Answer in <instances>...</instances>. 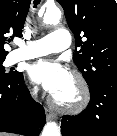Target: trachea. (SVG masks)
Listing matches in <instances>:
<instances>
[{
	"mask_svg": "<svg viewBox=\"0 0 117 136\" xmlns=\"http://www.w3.org/2000/svg\"><path fill=\"white\" fill-rule=\"evenodd\" d=\"M40 3V0H34V7H36Z\"/></svg>",
	"mask_w": 117,
	"mask_h": 136,
	"instance_id": "obj_1",
	"label": "trachea"
}]
</instances>
